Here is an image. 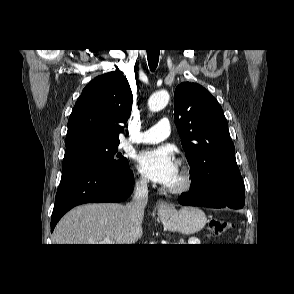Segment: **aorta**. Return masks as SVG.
<instances>
[{"label": "aorta", "instance_id": "obj_1", "mask_svg": "<svg viewBox=\"0 0 294 294\" xmlns=\"http://www.w3.org/2000/svg\"><path fill=\"white\" fill-rule=\"evenodd\" d=\"M170 99L169 93L165 90L154 93L148 100L149 110L158 112L168 104Z\"/></svg>", "mask_w": 294, "mask_h": 294}]
</instances>
